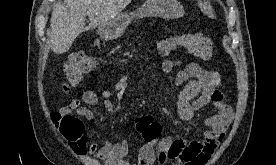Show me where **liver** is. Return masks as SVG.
I'll return each mask as SVG.
<instances>
[{
    "label": "liver",
    "mask_w": 276,
    "mask_h": 165,
    "mask_svg": "<svg viewBox=\"0 0 276 165\" xmlns=\"http://www.w3.org/2000/svg\"><path fill=\"white\" fill-rule=\"evenodd\" d=\"M132 0H68L53 7L48 33L55 54L67 52L82 32L101 27L115 18ZM90 23L85 27L86 17Z\"/></svg>",
    "instance_id": "6515ba94"
}]
</instances>
